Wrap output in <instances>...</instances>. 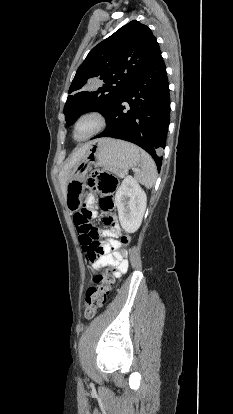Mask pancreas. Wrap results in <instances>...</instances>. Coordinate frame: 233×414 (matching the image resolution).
Wrapping results in <instances>:
<instances>
[{"label": "pancreas", "instance_id": "cf45deb5", "mask_svg": "<svg viewBox=\"0 0 233 414\" xmlns=\"http://www.w3.org/2000/svg\"><path fill=\"white\" fill-rule=\"evenodd\" d=\"M119 177H124V173L122 171L115 172Z\"/></svg>", "mask_w": 233, "mask_h": 414}]
</instances>
